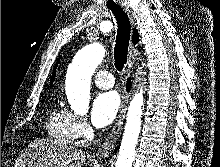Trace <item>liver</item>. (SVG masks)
Returning <instances> with one entry per match:
<instances>
[{"label": "liver", "mask_w": 220, "mask_h": 167, "mask_svg": "<svg viewBox=\"0 0 220 167\" xmlns=\"http://www.w3.org/2000/svg\"><path fill=\"white\" fill-rule=\"evenodd\" d=\"M86 153L73 146H65L51 139L34 140L23 150L15 167L26 164L28 167H82Z\"/></svg>", "instance_id": "1"}]
</instances>
